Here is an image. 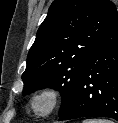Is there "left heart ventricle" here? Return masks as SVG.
Returning a JSON list of instances; mask_svg holds the SVG:
<instances>
[{
	"instance_id": "left-heart-ventricle-1",
	"label": "left heart ventricle",
	"mask_w": 118,
	"mask_h": 123,
	"mask_svg": "<svg viewBox=\"0 0 118 123\" xmlns=\"http://www.w3.org/2000/svg\"><path fill=\"white\" fill-rule=\"evenodd\" d=\"M45 108V104L44 103H39L38 104V109L39 110H43Z\"/></svg>"
}]
</instances>
